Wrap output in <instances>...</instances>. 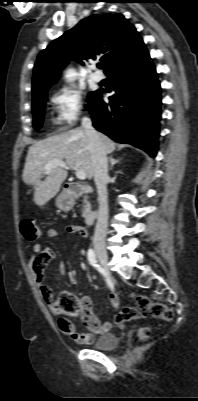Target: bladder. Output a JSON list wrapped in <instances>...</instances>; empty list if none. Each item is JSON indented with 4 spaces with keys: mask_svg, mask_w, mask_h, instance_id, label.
I'll list each match as a JSON object with an SVG mask.
<instances>
[{
    "mask_svg": "<svg viewBox=\"0 0 198 401\" xmlns=\"http://www.w3.org/2000/svg\"><path fill=\"white\" fill-rule=\"evenodd\" d=\"M118 338L113 333H103L99 335L93 343L95 349L113 350L117 347Z\"/></svg>",
    "mask_w": 198,
    "mask_h": 401,
    "instance_id": "1",
    "label": "bladder"
}]
</instances>
